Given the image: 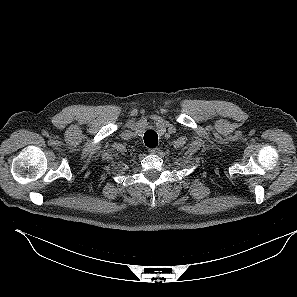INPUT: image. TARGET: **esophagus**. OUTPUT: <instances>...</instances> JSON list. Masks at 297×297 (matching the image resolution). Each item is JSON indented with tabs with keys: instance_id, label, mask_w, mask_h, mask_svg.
<instances>
[{
	"instance_id": "1",
	"label": "esophagus",
	"mask_w": 297,
	"mask_h": 297,
	"mask_svg": "<svg viewBox=\"0 0 297 297\" xmlns=\"http://www.w3.org/2000/svg\"><path fill=\"white\" fill-rule=\"evenodd\" d=\"M159 151H160V149L157 147L148 149V152L151 154H157Z\"/></svg>"
}]
</instances>
